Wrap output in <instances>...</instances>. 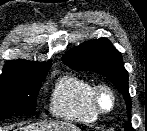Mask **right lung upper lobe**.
Returning <instances> with one entry per match:
<instances>
[{"label": "right lung upper lobe", "instance_id": "right-lung-upper-lobe-1", "mask_svg": "<svg viewBox=\"0 0 147 131\" xmlns=\"http://www.w3.org/2000/svg\"><path fill=\"white\" fill-rule=\"evenodd\" d=\"M51 61L37 63L23 59L6 62L2 74H34L43 73L50 69Z\"/></svg>", "mask_w": 147, "mask_h": 131}]
</instances>
